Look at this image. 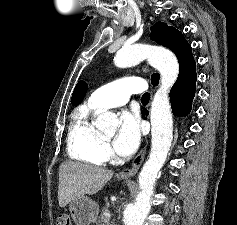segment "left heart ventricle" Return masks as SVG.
<instances>
[{
  "instance_id": "obj_1",
  "label": "left heart ventricle",
  "mask_w": 237,
  "mask_h": 225,
  "mask_svg": "<svg viewBox=\"0 0 237 225\" xmlns=\"http://www.w3.org/2000/svg\"><path fill=\"white\" fill-rule=\"evenodd\" d=\"M112 137H113V134L107 136V138H109V139L112 138Z\"/></svg>"
}]
</instances>
